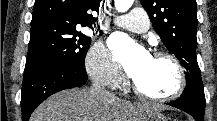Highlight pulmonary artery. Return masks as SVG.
<instances>
[{"mask_svg":"<svg viewBox=\"0 0 217 121\" xmlns=\"http://www.w3.org/2000/svg\"><path fill=\"white\" fill-rule=\"evenodd\" d=\"M114 23L127 30L138 33L146 32L150 27L146 12L140 8H135L128 14L116 17Z\"/></svg>","mask_w":217,"mask_h":121,"instance_id":"1","label":"pulmonary artery"}]
</instances>
